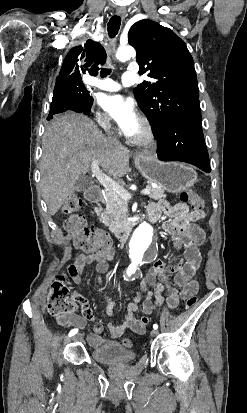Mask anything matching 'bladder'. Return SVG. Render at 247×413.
I'll use <instances>...</instances> for the list:
<instances>
[{"instance_id":"obj_1","label":"bladder","mask_w":247,"mask_h":413,"mask_svg":"<svg viewBox=\"0 0 247 413\" xmlns=\"http://www.w3.org/2000/svg\"><path fill=\"white\" fill-rule=\"evenodd\" d=\"M91 355L96 362L105 364L132 362L136 358L135 352L123 348L118 342L111 341L104 342L100 348L93 350Z\"/></svg>"}]
</instances>
